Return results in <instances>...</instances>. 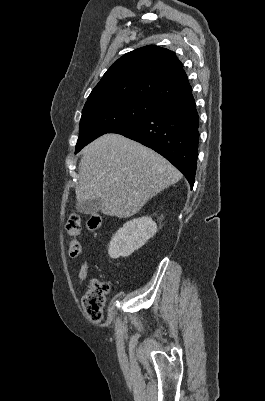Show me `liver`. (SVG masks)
<instances>
[{
  "mask_svg": "<svg viewBox=\"0 0 265 401\" xmlns=\"http://www.w3.org/2000/svg\"><path fill=\"white\" fill-rule=\"evenodd\" d=\"M78 170V203L101 198V213L121 219L182 176L166 158L122 134H103L85 146Z\"/></svg>",
  "mask_w": 265,
  "mask_h": 401,
  "instance_id": "liver-1",
  "label": "liver"
}]
</instances>
